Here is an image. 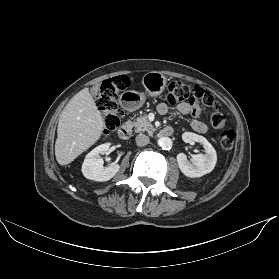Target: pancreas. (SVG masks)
<instances>
[{
    "instance_id": "obj_1",
    "label": "pancreas",
    "mask_w": 279,
    "mask_h": 279,
    "mask_svg": "<svg viewBox=\"0 0 279 279\" xmlns=\"http://www.w3.org/2000/svg\"><path fill=\"white\" fill-rule=\"evenodd\" d=\"M132 127H135L136 132L147 131L149 134H152L155 129L151 122L147 119L146 115H141L137 117L132 123Z\"/></svg>"
}]
</instances>
